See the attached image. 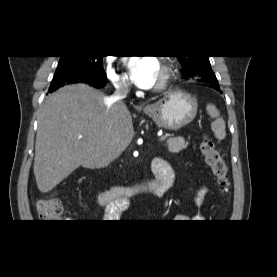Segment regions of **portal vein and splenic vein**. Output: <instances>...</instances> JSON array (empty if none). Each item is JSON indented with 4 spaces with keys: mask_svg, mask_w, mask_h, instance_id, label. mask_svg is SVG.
Returning <instances> with one entry per match:
<instances>
[{
    "mask_svg": "<svg viewBox=\"0 0 277 277\" xmlns=\"http://www.w3.org/2000/svg\"><path fill=\"white\" fill-rule=\"evenodd\" d=\"M167 138H168L167 135H163L159 138V141L162 142V141L166 140Z\"/></svg>",
    "mask_w": 277,
    "mask_h": 277,
    "instance_id": "obj_1",
    "label": "portal vein and splenic vein"
}]
</instances>
